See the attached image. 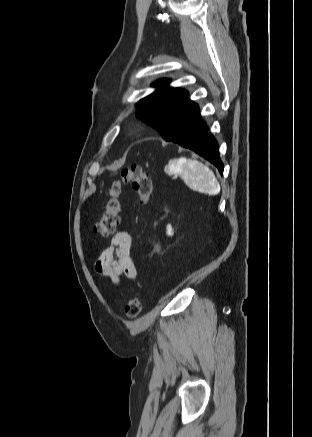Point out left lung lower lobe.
I'll use <instances>...</instances> for the list:
<instances>
[{"label":"left lung lower lobe","mask_w":312,"mask_h":437,"mask_svg":"<svg viewBox=\"0 0 312 437\" xmlns=\"http://www.w3.org/2000/svg\"><path fill=\"white\" fill-rule=\"evenodd\" d=\"M174 143L207 159L223 174L224 166L220 160L217 141L208 133V126L203 120H200V116Z\"/></svg>","instance_id":"1"}]
</instances>
